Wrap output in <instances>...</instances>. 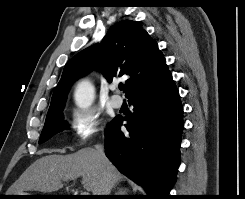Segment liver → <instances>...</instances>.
Listing matches in <instances>:
<instances>
[{"label": "liver", "instance_id": "obj_1", "mask_svg": "<svg viewBox=\"0 0 245 199\" xmlns=\"http://www.w3.org/2000/svg\"><path fill=\"white\" fill-rule=\"evenodd\" d=\"M107 171L111 179V188L122 175L108 160L103 164L94 148H83L70 155H47L31 164L10 188L14 195L24 191L54 192L63 187V182L82 177L83 187L98 195L102 188L103 174Z\"/></svg>", "mask_w": 245, "mask_h": 199}]
</instances>
